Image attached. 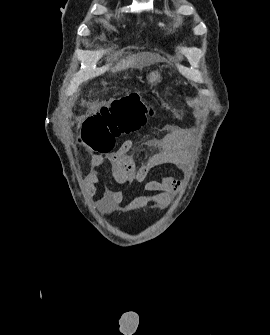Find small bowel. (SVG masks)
Masks as SVG:
<instances>
[{
	"label": "small bowel",
	"mask_w": 270,
	"mask_h": 335,
	"mask_svg": "<svg viewBox=\"0 0 270 335\" xmlns=\"http://www.w3.org/2000/svg\"><path fill=\"white\" fill-rule=\"evenodd\" d=\"M177 117L181 116L179 111H173ZM188 140L187 132L177 124L166 127L163 136L155 138L150 142V147L155 151L145 158L139 166L128 154L132 140H125L119 149L107 156L93 154L90 156V168L87 172L86 181L91 189L99 182V171L105 163H109L113 179L124 185L143 184L145 194L133 199L124 210H136L144 205L153 204L158 208H166L170 203V195L180 187V180L171 176L163 175L157 179H149L150 171L162 165H184L188 162ZM125 190H113L106 188L102 199L98 203L99 210L104 214L120 210L125 200Z\"/></svg>",
	"instance_id": "obj_1"
}]
</instances>
